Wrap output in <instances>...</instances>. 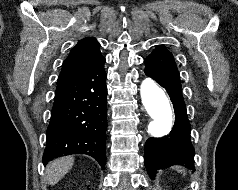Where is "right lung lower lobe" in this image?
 Returning a JSON list of instances; mask_svg holds the SVG:
<instances>
[{"label":"right lung lower lobe","instance_id":"1","mask_svg":"<svg viewBox=\"0 0 238 190\" xmlns=\"http://www.w3.org/2000/svg\"><path fill=\"white\" fill-rule=\"evenodd\" d=\"M104 63L105 59L57 85L43 163L63 155L87 154L104 169L107 128Z\"/></svg>","mask_w":238,"mask_h":190}]
</instances>
